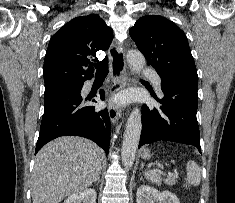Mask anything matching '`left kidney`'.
<instances>
[{"label":"left kidney","mask_w":235,"mask_h":203,"mask_svg":"<svg viewBox=\"0 0 235 203\" xmlns=\"http://www.w3.org/2000/svg\"><path fill=\"white\" fill-rule=\"evenodd\" d=\"M137 203H180L179 199L175 194L169 191L160 192L157 189L148 186L141 185L136 194Z\"/></svg>","instance_id":"obj_1"}]
</instances>
